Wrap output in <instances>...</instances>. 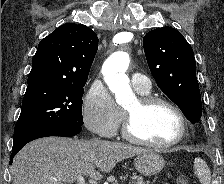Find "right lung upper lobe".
<instances>
[{
	"mask_svg": "<svg viewBox=\"0 0 224 184\" xmlns=\"http://www.w3.org/2000/svg\"><path fill=\"white\" fill-rule=\"evenodd\" d=\"M98 48L96 33L86 25L66 23L38 45L27 83H86Z\"/></svg>",
	"mask_w": 224,
	"mask_h": 184,
	"instance_id": "1",
	"label": "right lung upper lobe"
}]
</instances>
